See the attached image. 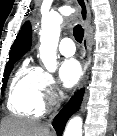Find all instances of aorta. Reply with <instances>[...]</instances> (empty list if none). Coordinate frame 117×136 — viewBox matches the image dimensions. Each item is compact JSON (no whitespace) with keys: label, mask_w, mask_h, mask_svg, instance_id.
Wrapping results in <instances>:
<instances>
[{"label":"aorta","mask_w":117,"mask_h":136,"mask_svg":"<svg viewBox=\"0 0 117 136\" xmlns=\"http://www.w3.org/2000/svg\"><path fill=\"white\" fill-rule=\"evenodd\" d=\"M40 33V58L48 71H54L57 67L56 50L60 37V26L63 17L58 12H50L42 17ZM82 118L72 117L63 133V136H82Z\"/></svg>","instance_id":"762f6f07"}]
</instances>
